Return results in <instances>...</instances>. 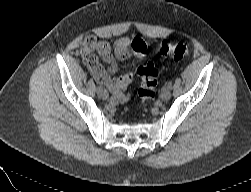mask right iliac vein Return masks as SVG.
<instances>
[{"mask_svg":"<svg viewBox=\"0 0 251 192\" xmlns=\"http://www.w3.org/2000/svg\"><path fill=\"white\" fill-rule=\"evenodd\" d=\"M103 99H107L109 97V93L107 90H102V92L99 94Z\"/></svg>","mask_w":251,"mask_h":192,"instance_id":"right-iliac-vein-1","label":"right iliac vein"}]
</instances>
